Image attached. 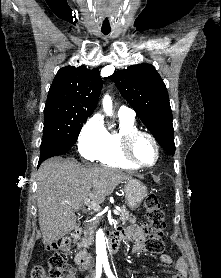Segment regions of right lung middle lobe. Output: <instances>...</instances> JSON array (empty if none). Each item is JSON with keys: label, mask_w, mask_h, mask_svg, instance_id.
Returning a JSON list of instances; mask_svg holds the SVG:
<instances>
[{"label": "right lung middle lobe", "mask_w": 221, "mask_h": 278, "mask_svg": "<svg viewBox=\"0 0 221 278\" xmlns=\"http://www.w3.org/2000/svg\"><path fill=\"white\" fill-rule=\"evenodd\" d=\"M88 117H69L60 113L44 114L40 157L71 148Z\"/></svg>", "instance_id": "dd1d6c3e"}]
</instances>
